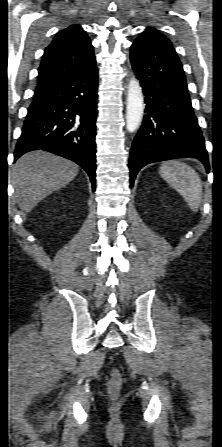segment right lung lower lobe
Instances as JSON below:
<instances>
[{
	"label": "right lung lower lobe",
	"mask_w": 222,
	"mask_h": 447,
	"mask_svg": "<svg viewBox=\"0 0 222 447\" xmlns=\"http://www.w3.org/2000/svg\"><path fill=\"white\" fill-rule=\"evenodd\" d=\"M98 72L92 60L73 78L34 99L18 140L14 161L32 150H45L80 165L95 190Z\"/></svg>",
	"instance_id": "98d812e1"
}]
</instances>
